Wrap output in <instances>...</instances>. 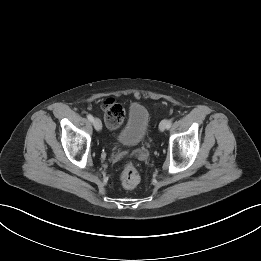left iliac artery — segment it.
<instances>
[{
    "label": "left iliac artery",
    "mask_w": 261,
    "mask_h": 261,
    "mask_svg": "<svg viewBox=\"0 0 261 261\" xmlns=\"http://www.w3.org/2000/svg\"><path fill=\"white\" fill-rule=\"evenodd\" d=\"M172 122H173L172 120H169V121H168V124H167V129H169V128L171 127V125H172Z\"/></svg>",
    "instance_id": "1"
}]
</instances>
